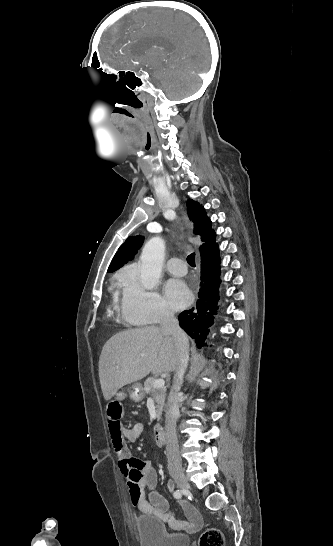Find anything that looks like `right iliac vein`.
Wrapping results in <instances>:
<instances>
[{
  "mask_svg": "<svg viewBox=\"0 0 333 546\" xmlns=\"http://www.w3.org/2000/svg\"><path fill=\"white\" fill-rule=\"evenodd\" d=\"M171 475L179 488L183 490L190 489V484L182 471L180 470L172 471Z\"/></svg>",
  "mask_w": 333,
  "mask_h": 546,
  "instance_id": "63e3f726",
  "label": "right iliac vein"
}]
</instances>
